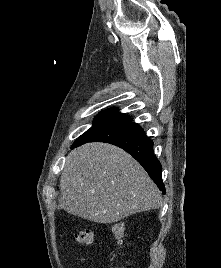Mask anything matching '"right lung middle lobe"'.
<instances>
[{
    "label": "right lung middle lobe",
    "mask_w": 221,
    "mask_h": 268,
    "mask_svg": "<svg viewBox=\"0 0 221 268\" xmlns=\"http://www.w3.org/2000/svg\"><path fill=\"white\" fill-rule=\"evenodd\" d=\"M127 123L126 119L110 113L101 112L95 118L93 126L75 141L72 148L77 147L87 140L119 125Z\"/></svg>",
    "instance_id": "1"
}]
</instances>
